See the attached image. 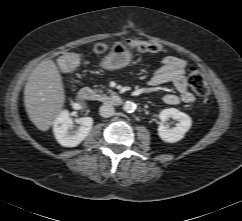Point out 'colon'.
Listing matches in <instances>:
<instances>
[{
  "instance_id": "colon-1",
  "label": "colon",
  "mask_w": 242,
  "mask_h": 221,
  "mask_svg": "<svg viewBox=\"0 0 242 221\" xmlns=\"http://www.w3.org/2000/svg\"><path fill=\"white\" fill-rule=\"evenodd\" d=\"M129 49L136 53H157L163 51L164 47L156 41H139L130 40L128 42ZM109 46L104 43H99L95 47V52L99 55L108 52ZM81 62L80 54L76 52H68L63 54L58 60V67L62 72H70L77 68ZM188 83L192 90L201 98H208L210 89L206 83L201 71L196 66H190L188 69Z\"/></svg>"
}]
</instances>
